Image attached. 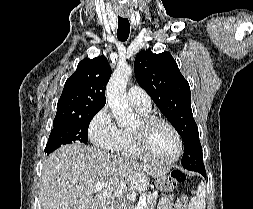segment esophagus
I'll list each match as a JSON object with an SVG mask.
<instances>
[{"label":"esophagus","instance_id":"34e87169","mask_svg":"<svg viewBox=\"0 0 253 209\" xmlns=\"http://www.w3.org/2000/svg\"><path fill=\"white\" fill-rule=\"evenodd\" d=\"M125 16H130L131 15V12L127 11L124 13Z\"/></svg>","mask_w":253,"mask_h":209}]
</instances>
